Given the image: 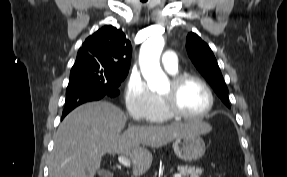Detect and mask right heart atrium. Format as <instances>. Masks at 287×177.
I'll list each match as a JSON object with an SVG mask.
<instances>
[{
	"label": "right heart atrium",
	"instance_id": "obj_1",
	"mask_svg": "<svg viewBox=\"0 0 287 177\" xmlns=\"http://www.w3.org/2000/svg\"><path fill=\"white\" fill-rule=\"evenodd\" d=\"M124 102L133 121H149L156 108V95L140 75L132 74L125 84Z\"/></svg>",
	"mask_w": 287,
	"mask_h": 177
}]
</instances>
